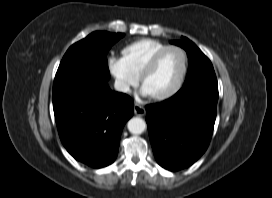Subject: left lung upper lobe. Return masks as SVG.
<instances>
[{"label": "left lung upper lobe", "mask_w": 272, "mask_h": 198, "mask_svg": "<svg viewBox=\"0 0 272 198\" xmlns=\"http://www.w3.org/2000/svg\"><path fill=\"white\" fill-rule=\"evenodd\" d=\"M171 43L184 48L188 55L189 68L184 85L194 80L216 77L211 61L188 38L181 37V40Z\"/></svg>", "instance_id": "5c2ea615"}]
</instances>
